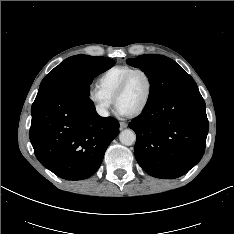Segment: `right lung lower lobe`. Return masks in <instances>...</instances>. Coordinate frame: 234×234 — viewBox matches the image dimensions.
<instances>
[{
    "mask_svg": "<svg viewBox=\"0 0 234 234\" xmlns=\"http://www.w3.org/2000/svg\"><path fill=\"white\" fill-rule=\"evenodd\" d=\"M31 114L37 159L67 180L92 176L119 133L118 121L98 116L92 101L68 81L39 88Z\"/></svg>",
    "mask_w": 234,
    "mask_h": 234,
    "instance_id": "obj_1",
    "label": "right lung lower lobe"
}]
</instances>
